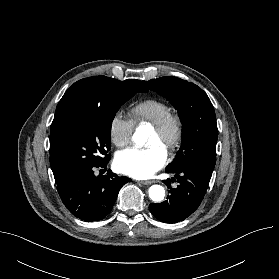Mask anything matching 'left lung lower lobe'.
Wrapping results in <instances>:
<instances>
[{
    "instance_id": "1",
    "label": "left lung lower lobe",
    "mask_w": 279,
    "mask_h": 279,
    "mask_svg": "<svg viewBox=\"0 0 279 279\" xmlns=\"http://www.w3.org/2000/svg\"><path fill=\"white\" fill-rule=\"evenodd\" d=\"M166 172L174 173L179 185L177 188H172L171 182L175 179L164 180L163 182L170 189V195L162 203H151L149 210L161 222L176 223L183 221L198 208L211 177L191 169L166 170Z\"/></svg>"
}]
</instances>
